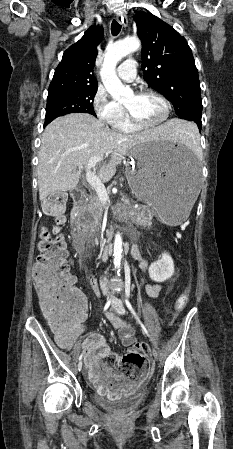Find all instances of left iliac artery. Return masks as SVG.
<instances>
[{"label":"left iliac artery","mask_w":233,"mask_h":449,"mask_svg":"<svg viewBox=\"0 0 233 449\" xmlns=\"http://www.w3.org/2000/svg\"><path fill=\"white\" fill-rule=\"evenodd\" d=\"M126 299H125V303L127 305V307L129 308V310L131 311V313L133 314V316L135 317L136 321L141 325L142 331L144 334H146L150 339L151 336L149 335L146 327L144 326V324L140 321L139 317L137 316L135 310L133 309L130 301H129V297H130V291H126Z\"/></svg>","instance_id":"left-iliac-artery-1"}]
</instances>
